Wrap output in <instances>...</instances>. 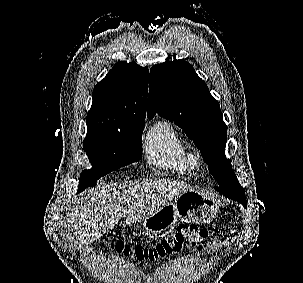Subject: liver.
<instances>
[{
  "mask_svg": "<svg viewBox=\"0 0 303 283\" xmlns=\"http://www.w3.org/2000/svg\"><path fill=\"white\" fill-rule=\"evenodd\" d=\"M193 190L176 180H147L124 186L103 184L81 193L68 208L67 225L79 246H87L112 230L122 219L141 222L173 198Z\"/></svg>",
  "mask_w": 303,
  "mask_h": 283,
  "instance_id": "liver-1",
  "label": "liver"
}]
</instances>
